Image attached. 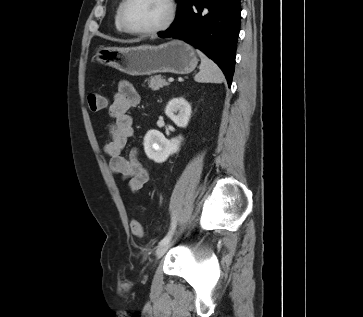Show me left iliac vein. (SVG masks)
I'll return each instance as SVG.
<instances>
[{"label":"left iliac vein","mask_w":363,"mask_h":317,"mask_svg":"<svg viewBox=\"0 0 363 317\" xmlns=\"http://www.w3.org/2000/svg\"><path fill=\"white\" fill-rule=\"evenodd\" d=\"M173 243H174V241H169L163 245H159L156 250L157 258L162 257L168 251V249L173 245Z\"/></svg>","instance_id":"left-iliac-vein-1"}]
</instances>
